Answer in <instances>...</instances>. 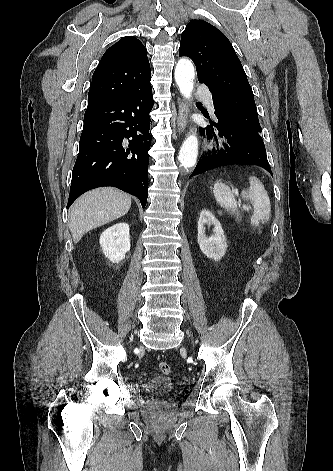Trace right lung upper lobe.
Instances as JSON below:
<instances>
[{
	"mask_svg": "<svg viewBox=\"0 0 333 471\" xmlns=\"http://www.w3.org/2000/svg\"><path fill=\"white\" fill-rule=\"evenodd\" d=\"M150 78L145 47L135 37H123L101 58L92 77L87 108L121 97Z\"/></svg>",
	"mask_w": 333,
	"mask_h": 471,
	"instance_id": "obj_1",
	"label": "right lung upper lobe"
}]
</instances>
